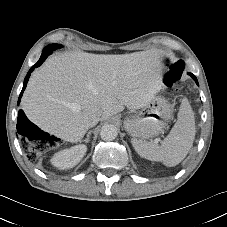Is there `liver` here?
<instances>
[{
    "instance_id": "obj_1",
    "label": "liver",
    "mask_w": 227,
    "mask_h": 227,
    "mask_svg": "<svg viewBox=\"0 0 227 227\" xmlns=\"http://www.w3.org/2000/svg\"><path fill=\"white\" fill-rule=\"evenodd\" d=\"M163 59L159 50L52 56L30 78L22 109L43 131L79 142L89 128V113L106 120L125 106L130 110L145 107L163 88Z\"/></svg>"
}]
</instances>
